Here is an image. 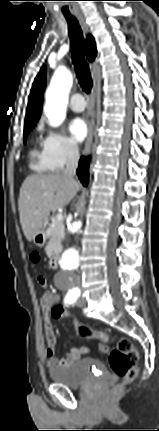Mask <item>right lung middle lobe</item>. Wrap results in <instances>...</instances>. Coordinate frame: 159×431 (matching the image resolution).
<instances>
[{"mask_svg":"<svg viewBox=\"0 0 159 431\" xmlns=\"http://www.w3.org/2000/svg\"><path fill=\"white\" fill-rule=\"evenodd\" d=\"M33 127L34 126L24 128V138L27 137V135L29 134V132L32 130Z\"/></svg>","mask_w":159,"mask_h":431,"instance_id":"right-lung-middle-lobe-1","label":"right lung middle lobe"}]
</instances>
